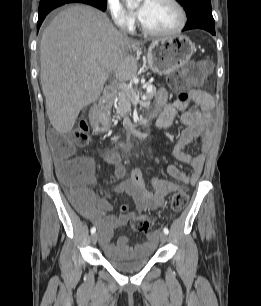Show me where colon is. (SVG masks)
<instances>
[{
  "mask_svg": "<svg viewBox=\"0 0 261 306\" xmlns=\"http://www.w3.org/2000/svg\"><path fill=\"white\" fill-rule=\"evenodd\" d=\"M209 70V65L203 61H193L180 72L172 75L169 82L177 92L181 101H187L198 89ZM92 114L101 122L107 121L106 108H95ZM90 139V125L87 120H81L75 130L69 134H56L51 140L54 156L60 161L68 162L59 169L58 174L62 182L76 190L81 197L84 193V184L88 180L89 167L82 157L73 158L75 150L84 146ZM188 194L185 189L176 191L171 199V207L175 212L182 211L188 203ZM152 219L147 215L134 216L131 226L136 231H148L152 227Z\"/></svg>",
  "mask_w": 261,
  "mask_h": 306,
  "instance_id": "obj_1",
  "label": "colon"
}]
</instances>
